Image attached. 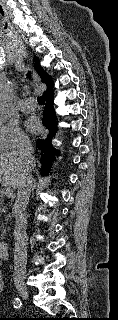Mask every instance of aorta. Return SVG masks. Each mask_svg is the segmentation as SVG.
<instances>
[{
	"mask_svg": "<svg viewBox=\"0 0 118 320\" xmlns=\"http://www.w3.org/2000/svg\"><path fill=\"white\" fill-rule=\"evenodd\" d=\"M13 88L9 84L0 86V120H7L10 114Z\"/></svg>",
	"mask_w": 118,
	"mask_h": 320,
	"instance_id": "1",
	"label": "aorta"
}]
</instances>
